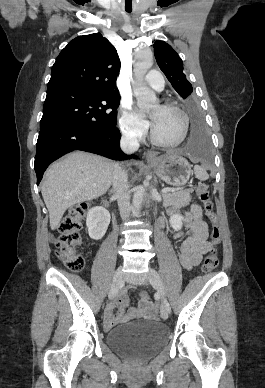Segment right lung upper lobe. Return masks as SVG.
Wrapping results in <instances>:
<instances>
[{
  "instance_id": "obj_1",
  "label": "right lung upper lobe",
  "mask_w": 265,
  "mask_h": 388,
  "mask_svg": "<svg viewBox=\"0 0 265 388\" xmlns=\"http://www.w3.org/2000/svg\"><path fill=\"white\" fill-rule=\"evenodd\" d=\"M119 70L116 49L100 33L78 36L57 57L47 95L114 89Z\"/></svg>"
}]
</instances>
